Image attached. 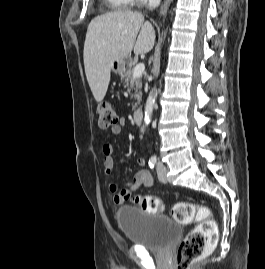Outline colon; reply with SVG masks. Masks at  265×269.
I'll return each mask as SVG.
<instances>
[{"label": "colon", "instance_id": "1", "mask_svg": "<svg viewBox=\"0 0 265 269\" xmlns=\"http://www.w3.org/2000/svg\"><path fill=\"white\" fill-rule=\"evenodd\" d=\"M99 126L108 129L118 124V115L108 103L97 107ZM135 202L147 212L156 213L163 210V202L151 195L136 196ZM172 216L178 223L197 225L181 241L177 250L176 269H189L190 265L199 260L206 249L213 246L218 238L216 222L211 219L208 208L189 202H178L172 208Z\"/></svg>", "mask_w": 265, "mask_h": 269}]
</instances>
